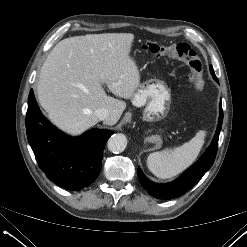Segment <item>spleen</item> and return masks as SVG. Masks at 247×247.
Masks as SVG:
<instances>
[{
	"label": "spleen",
	"mask_w": 247,
	"mask_h": 247,
	"mask_svg": "<svg viewBox=\"0 0 247 247\" xmlns=\"http://www.w3.org/2000/svg\"><path fill=\"white\" fill-rule=\"evenodd\" d=\"M205 136L206 131L201 130L179 147L151 153L147 158L148 169L161 179L178 175L196 160L204 145Z\"/></svg>",
	"instance_id": "3e777b00"
}]
</instances>
